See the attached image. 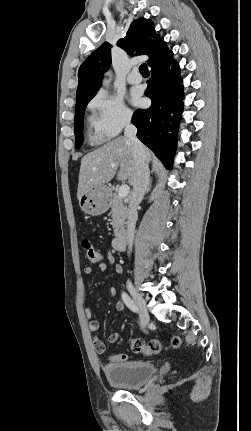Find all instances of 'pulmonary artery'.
Masks as SVG:
<instances>
[{
  "mask_svg": "<svg viewBox=\"0 0 251 431\" xmlns=\"http://www.w3.org/2000/svg\"><path fill=\"white\" fill-rule=\"evenodd\" d=\"M127 81L130 84H138L142 81V77L139 74V72L136 69H134L128 74Z\"/></svg>",
  "mask_w": 251,
  "mask_h": 431,
  "instance_id": "e3ab8cb5",
  "label": "pulmonary artery"
}]
</instances>
